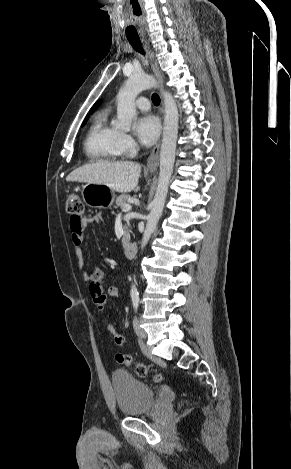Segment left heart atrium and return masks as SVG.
<instances>
[{
    "instance_id": "39dd6f15",
    "label": "left heart atrium",
    "mask_w": 291,
    "mask_h": 469,
    "mask_svg": "<svg viewBox=\"0 0 291 469\" xmlns=\"http://www.w3.org/2000/svg\"><path fill=\"white\" fill-rule=\"evenodd\" d=\"M135 133L143 145H152L160 134L158 118L151 114L139 117L135 123Z\"/></svg>"
}]
</instances>
